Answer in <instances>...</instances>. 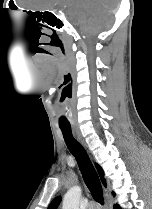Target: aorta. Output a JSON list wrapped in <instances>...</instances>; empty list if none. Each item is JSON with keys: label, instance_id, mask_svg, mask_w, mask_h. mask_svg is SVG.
Segmentation results:
<instances>
[{"label": "aorta", "instance_id": "1", "mask_svg": "<svg viewBox=\"0 0 152 209\" xmlns=\"http://www.w3.org/2000/svg\"><path fill=\"white\" fill-rule=\"evenodd\" d=\"M80 197L81 188L73 186L64 195L62 209H79Z\"/></svg>", "mask_w": 152, "mask_h": 209}]
</instances>
